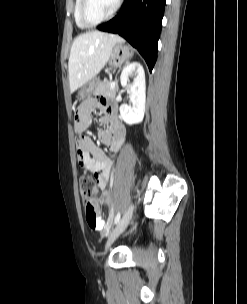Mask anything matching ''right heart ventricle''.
I'll list each match as a JSON object with an SVG mask.
<instances>
[{
	"label": "right heart ventricle",
	"mask_w": 247,
	"mask_h": 304,
	"mask_svg": "<svg viewBox=\"0 0 247 304\" xmlns=\"http://www.w3.org/2000/svg\"><path fill=\"white\" fill-rule=\"evenodd\" d=\"M80 4H81V0H75L73 15H74V20H75L76 25L80 29H85L87 27H85L80 21V16H79Z\"/></svg>",
	"instance_id": "obj_1"
}]
</instances>
